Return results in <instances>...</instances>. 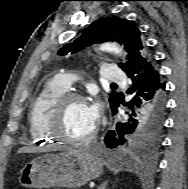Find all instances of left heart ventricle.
Returning a JSON list of instances; mask_svg holds the SVG:
<instances>
[{
    "label": "left heart ventricle",
    "mask_w": 188,
    "mask_h": 189,
    "mask_svg": "<svg viewBox=\"0 0 188 189\" xmlns=\"http://www.w3.org/2000/svg\"><path fill=\"white\" fill-rule=\"evenodd\" d=\"M95 126L86 102H72L68 105L63 120L62 131L74 138L86 136Z\"/></svg>",
    "instance_id": "b2bd125f"
}]
</instances>
